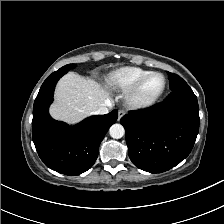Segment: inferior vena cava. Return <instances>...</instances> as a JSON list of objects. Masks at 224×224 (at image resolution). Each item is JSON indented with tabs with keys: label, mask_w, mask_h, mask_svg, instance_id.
Returning a JSON list of instances; mask_svg holds the SVG:
<instances>
[{
	"label": "inferior vena cava",
	"mask_w": 224,
	"mask_h": 224,
	"mask_svg": "<svg viewBox=\"0 0 224 224\" xmlns=\"http://www.w3.org/2000/svg\"><path fill=\"white\" fill-rule=\"evenodd\" d=\"M112 107H113L112 102L108 100L106 101L105 105L101 106L98 110H96L94 114L99 115L107 114L112 109Z\"/></svg>",
	"instance_id": "1"
}]
</instances>
